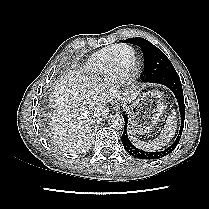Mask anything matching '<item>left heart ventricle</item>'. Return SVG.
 Returning <instances> with one entry per match:
<instances>
[{"instance_id":"1","label":"left heart ventricle","mask_w":209,"mask_h":209,"mask_svg":"<svg viewBox=\"0 0 209 209\" xmlns=\"http://www.w3.org/2000/svg\"><path fill=\"white\" fill-rule=\"evenodd\" d=\"M134 53L131 50H125L121 53L119 58V64L122 68L131 65Z\"/></svg>"}]
</instances>
